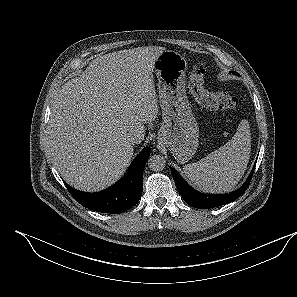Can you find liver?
Returning a JSON list of instances; mask_svg holds the SVG:
<instances>
[{"instance_id":"obj_1","label":"liver","mask_w":297,"mask_h":297,"mask_svg":"<svg viewBox=\"0 0 297 297\" xmlns=\"http://www.w3.org/2000/svg\"><path fill=\"white\" fill-rule=\"evenodd\" d=\"M163 51L147 46L99 56L61 87L51 109L48 145L68 184L98 191L124 174L134 152L128 135L144 138V124L158 115L153 67Z\"/></svg>"}]
</instances>
